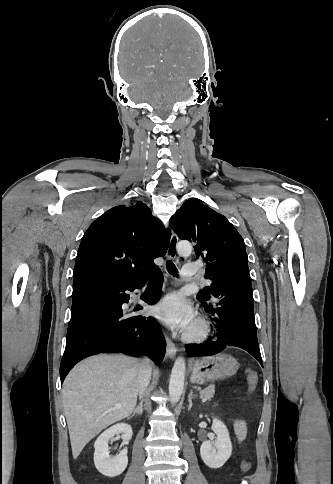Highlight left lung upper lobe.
<instances>
[{"instance_id": "5c2ea615", "label": "left lung upper lobe", "mask_w": 333, "mask_h": 484, "mask_svg": "<svg viewBox=\"0 0 333 484\" xmlns=\"http://www.w3.org/2000/svg\"><path fill=\"white\" fill-rule=\"evenodd\" d=\"M170 226L180 239L194 242L197 256L206 259L205 278L211 279L224 263L235 260L247 263L245 243L227 218L197 200H188L170 219ZM243 274V272H241ZM213 282L197 295L202 302L215 296Z\"/></svg>"}]
</instances>
